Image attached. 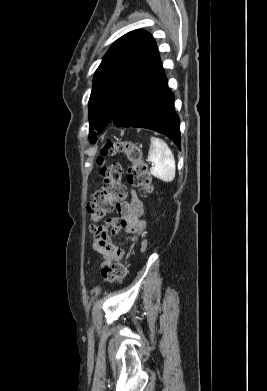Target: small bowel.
Masks as SVG:
<instances>
[{"label":"small bowel","mask_w":267,"mask_h":391,"mask_svg":"<svg viewBox=\"0 0 267 391\" xmlns=\"http://www.w3.org/2000/svg\"><path fill=\"white\" fill-rule=\"evenodd\" d=\"M117 218L108 219L105 225L100 227L93 241V249L102 257V266L106 267L113 262L121 260L124 255L123 245H116L111 240V235L125 232L126 244H138L144 251L146 241L142 238L146 229V222L141 218L144 212L143 203L135 191H131L129 201H121L116 204Z\"/></svg>","instance_id":"c3829d8e"}]
</instances>
